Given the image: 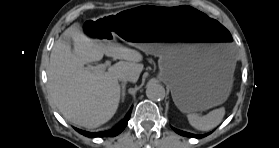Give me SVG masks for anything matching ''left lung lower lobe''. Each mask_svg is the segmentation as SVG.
Returning <instances> with one entry per match:
<instances>
[{
	"label": "left lung lower lobe",
	"mask_w": 279,
	"mask_h": 148,
	"mask_svg": "<svg viewBox=\"0 0 279 148\" xmlns=\"http://www.w3.org/2000/svg\"><path fill=\"white\" fill-rule=\"evenodd\" d=\"M173 130L175 132H177L178 134L182 135V136L191 137V138H202V137H205L208 134H210V133H207V134H204V135H194V134L187 133V132H184V131H181V130H177L175 128H173Z\"/></svg>",
	"instance_id": "left-lung-lower-lobe-1"
}]
</instances>
